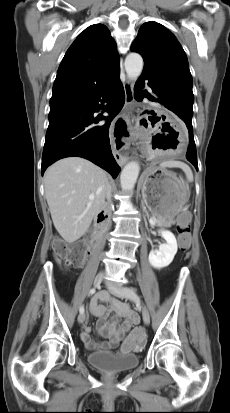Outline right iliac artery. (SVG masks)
Segmentation results:
<instances>
[{"label":"right iliac artery","mask_w":230,"mask_h":413,"mask_svg":"<svg viewBox=\"0 0 230 413\" xmlns=\"http://www.w3.org/2000/svg\"><path fill=\"white\" fill-rule=\"evenodd\" d=\"M95 292H96V289H95V288H92V289H90L89 294H90V295H93ZM79 311H80V313H84V307L81 306L80 309H79Z\"/></svg>","instance_id":"obj_1"}]
</instances>
